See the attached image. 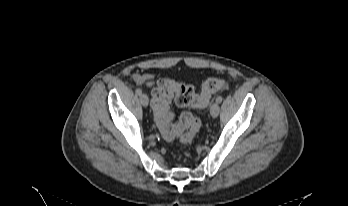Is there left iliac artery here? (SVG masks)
I'll return each instance as SVG.
<instances>
[{"mask_svg": "<svg viewBox=\"0 0 348 206\" xmlns=\"http://www.w3.org/2000/svg\"><path fill=\"white\" fill-rule=\"evenodd\" d=\"M222 100H223V97H222V96H218V97L216 98V102H218V103H221Z\"/></svg>", "mask_w": 348, "mask_h": 206, "instance_id": "44dca946", "label": "left iliac artery"}]
</instances>
